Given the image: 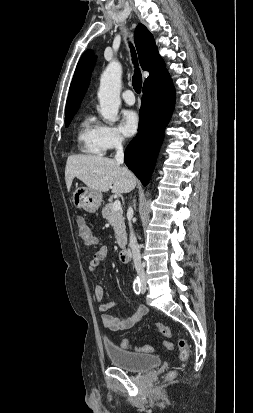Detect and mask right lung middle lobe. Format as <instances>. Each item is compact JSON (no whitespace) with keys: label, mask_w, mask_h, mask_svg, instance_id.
Masks as SVG:
<instances>
[{"label":"right lung middle lobe","mask_w":253,"mask_h":413,"mask_svg":"<svg viewBox=\"0 0 253 413\" xmlns=\"http://www.w3.org/2000/svg\"><path fill=\"white\" fill-rule=\"evenodd\" d=\"M73 116H74V114L65 117V126H66V127H68V125L70 124Z\"/></svg>","instance_id":"1"}]
</instances>
